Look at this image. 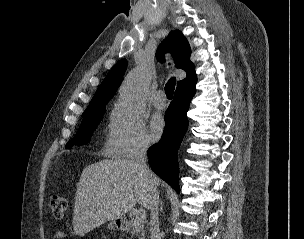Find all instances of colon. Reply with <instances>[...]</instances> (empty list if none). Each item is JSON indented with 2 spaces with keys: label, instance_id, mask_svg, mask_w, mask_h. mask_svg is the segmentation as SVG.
<instances>
[{
  "label": "colon",
  "instance_id": "1",
  "mask_svg": "<svg viewBox=\"0 0 304 239\" xmlns=\"http://www.w3.org/2000/svg\"><path fill=\"white\" fill-rule=\"evenodd\" d=\"M50 208L56 218H63L70 208V200L65 196H52L50 199Z\"/></svg>",
  "mask_w": 304,
  "mask_h": 239
}]
</instances>
